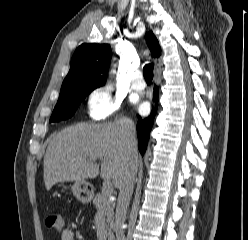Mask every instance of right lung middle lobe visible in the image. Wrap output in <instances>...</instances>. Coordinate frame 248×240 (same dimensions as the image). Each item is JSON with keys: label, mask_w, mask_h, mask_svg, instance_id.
I'll return each mask as SVG.
<instances>
[{"label": "right lung middle lobe", "mask_w": 248, "mask_h": 240, "mask_svg": "<svg viewBox=\"0 0 248 240\" xmlns=\"http://www.w3.org/2000/svg\"><path fill=\"white\" fill-rule=\"evenodd\" d=\"M94 88H80L72 87L60 91L59 100L53 110L50 122L65 120L70 118L77 110L80 102L92 91Z\"/></svg>", "instance_id": "right-lung-middle-lobe-1"}]
</instances>
